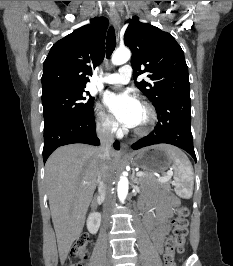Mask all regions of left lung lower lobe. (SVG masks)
Here are the masks:
<instances>
[{"label": "left lung lower lobe", "instance_id": "obj_1", "mask_svg": "<svg viewBox=\"0 0 233 266\" xmlns=\"http://www.w3.org/2000/svg\"><path fill=\"white\" fill-rule=\"evenodd\" d=\"M158 124L150 135L132 145L137 150L153 144L167 143L187 151L196 161L191 133L190 93L167 98L158 107Z\"/></svg>", "mask_w": 233, "mask_h": 266}]
</instances>
